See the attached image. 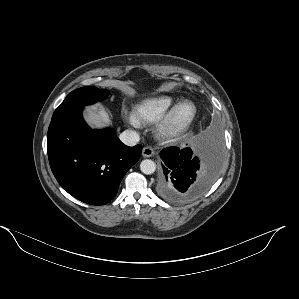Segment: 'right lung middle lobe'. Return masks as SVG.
I'll return each instance as SVG.
<instances>
[{
	"instance_id": "right-lung-middle-lobe-1",
	"label": "right lung middle lobe",
	"mask_w": 299,
	"mask_h": 299,
	"mask_svg": "<svg viewBox=\"0 0 299 299\" xmlns=\"http://www.w3.org/2000/svg\"><path fill=\"white\" fill-rule=\"evenodd\" d=\"M109 95L108 90H100L93 86L78 88L67 95L65 100L57 107L52 117L70 111L78 106L93 104L103 100Z\"/></svg>"
}]
</instances>
